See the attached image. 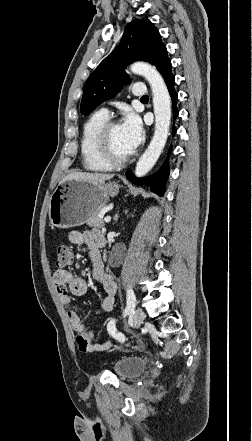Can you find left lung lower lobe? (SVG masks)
<instances>
[{
    "mask_svg": "<svg viewBox=\"0 0 252 441\" xmlns=\"http://www.w3.org/2000/svg\"><path fill=\"white\" fill-rule=\"evenodd\" d=\"M157 69L162 74L164 81L166 82L167 88L169 90L170 96L172 98L173 103V118L175 119L178 116V109L176 107V102L178 100V95L174 89L175 78L171 72V61L167 56V50H164L158 60ZM176 132L175 126H173V135ZM171 152V148L169 149V154ZM169 175L168 169V158L162 165V167L156 172L154 175L147 178H136L131 171L126 173V177L129 181L137 185L146 184L147 186H151L152 190L158 194L159 196H163L165 192V182Z\"/></svg>",
    "mask_w": 252,
    "mask_h": 441,
    "instance_id": "left-lung-lower-lobe-1",
    "label": "left lung lower lobe"
}]
</instances>
